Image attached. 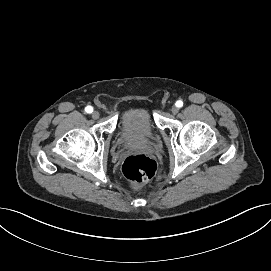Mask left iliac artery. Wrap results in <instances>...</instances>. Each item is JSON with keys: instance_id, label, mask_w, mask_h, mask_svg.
<instances>
[{"instance_id": "1", "label": "left iliac artery", "mask_w": 271, "mask_h": 271, "mask_svg": "<svg viewBox=\"0 0 271 271\" xmlns=\"http://www.w3.org/2000/svg\"><path fill=\"white\" fill-rule=\"evenodd\" d=\"M177 107H182L183 106V102L181 100L177 101L175 104Z\"/></svg>"}]
</instances>
